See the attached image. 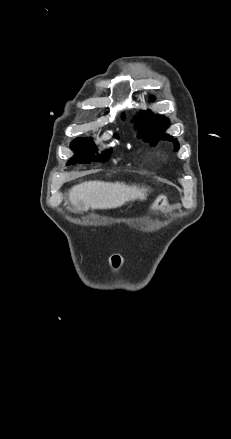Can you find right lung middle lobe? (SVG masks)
I'll use <instances>...</instances> for the list:
<instances>
[{"instance_id": "1", "label": "right lung middle lobe", "mask_w": 231, "mask_h": 439, "mask_svg": "<svg viewBox=\"0 0 231 439\" xmlns=\"http://www.w3.org/2000/svg\"><path fill=\"white\" fill-rule=\"evenodd\" d=\"M115 137L118 138V135L115 134ZM70 147L73 151H76L77 154L68 161V165L81 163L82 161H86L87 163H90L91 161L105 162L109 159L111 152V150H108V152H104L99 156L91 158V155L97 151V148L88 138H76L71 142Z\"/></svg>"}]
</instances>
